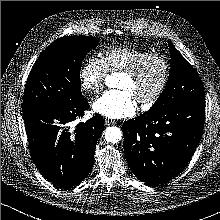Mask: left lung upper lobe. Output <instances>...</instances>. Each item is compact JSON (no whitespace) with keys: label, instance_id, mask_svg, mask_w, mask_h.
<instances>
[{"label":"left lung upper lobe","instance_id":"left-lung-upper-lobe-1","mask_svg":"<svg viewBox=\"0 0 220 220\" xmlns=\"http://www.w3.org/2000/svg\"><path fill=\"white\" fill-rule=\"evenodd\" d=\"M170 73L165 89L149 110H160L184 103L205 100L197 71L169 41Z\"/></svg>","mask_w":220,"mask_h":220}]
</instances>
